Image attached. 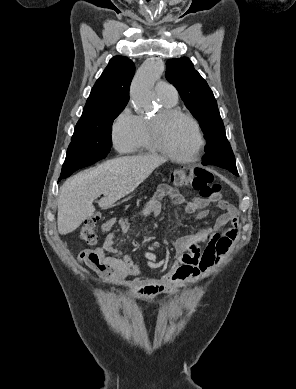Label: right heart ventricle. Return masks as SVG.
<instances>
[{"instance_id": "1", "label": "right heart ventricle", "mask_w": 296, "mask_h": 389, "mask_svg": "<svg viewBox=\"0 0 296 389\" xmlns=\"http://www.w3.org/2000/svg\"><path fill=\"white\" fill-rule=\"evenodd\" d=\"M159 98L164 108H175L177 104V100ZM131 151L138 154L154 153L156 151L150 140L149 119L146 117L138 116L137 134Z\"/></svg>"}]
</instances>
